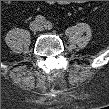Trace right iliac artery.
Wrapping results in <instances>:
<instances>
[{
	"label": "right iliac artery",
	"mask_w": 109,
	"mask_h": 109,
	"mask_svg": "<svg viewBox=\"0 0 109 109\" xmlns=\"http://www.w3.org/2000/svg\"><path fill=\"white\" fill-rule=\"evenodd\" d=\"M36 22L43 24L45 23V18L42 15H38L36 16Z\"/></svg>",
	"instance_id": "right-iliac-artery-1"
}]
</instances>
